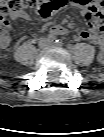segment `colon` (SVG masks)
Here are the masks:
<instances>
[{
	"instance_id": "obj_1",
	"label": "colon",
	"mask_w": 104,
	"mask_h": 137,
	"mask_svg": "<svg viewBox=\"0 0 104 137\" xmlns=\"http://www.w3.org/2000/svg\"><path fill=\"white\" fill-rule=\"evenodd\" d=\"M71 0H5L1 5L0 12V33L1 36L10 30L8 19L14 18L22 13L35 9L40 16L48 18L59 7ZM96 4L101 5L102 0H95Z\"/></svg>"
}]
</instances>
